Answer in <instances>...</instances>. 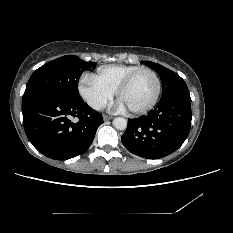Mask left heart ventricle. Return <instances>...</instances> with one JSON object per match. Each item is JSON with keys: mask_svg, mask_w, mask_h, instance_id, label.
<instances>
[{"mask_svg": "<svg viewBox=\"0 0 233 233\" xmlns=\"http://www.w3.org/2000/svg\"><path fill=\"white\" fill-rule=\"evenodd\" d=\"M155 78L150 73H142L121 94L120 100L126 108L138 109L146 106L154 97Z\"/></svg>", "mask_w": 233, "mask_h": 233, "instance_id": "obj_1", "label": "left heart ventricle"}]
</instances>
